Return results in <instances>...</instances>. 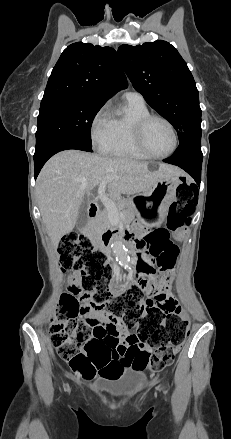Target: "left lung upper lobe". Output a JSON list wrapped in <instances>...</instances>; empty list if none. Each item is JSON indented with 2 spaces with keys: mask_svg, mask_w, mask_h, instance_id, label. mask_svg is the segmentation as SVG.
<instances>
[{
  "mask_svg": "<svg viewBox=\"0 0 231 439\" xmlns=\"http://www.w3.org/2000/svg\"><path fill=\"white\" fill-rule=\"evenodd\" d=\"M118 55L133 87L173 125L179 141L202 131L198 90L174 46L163 40L135 47L124 44Z\"/></svg>",
  "mask_w": 231,
  "mask_h": 439,
  "instance_id": "obj_1",
  "label": "left lung upper lobe"
}]
</instances>
